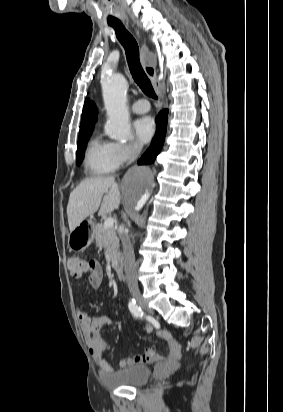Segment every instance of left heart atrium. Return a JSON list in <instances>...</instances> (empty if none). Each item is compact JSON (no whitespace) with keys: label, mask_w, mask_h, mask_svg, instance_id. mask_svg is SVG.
I'll return each instance as SVG.
<instances>
[{"label":"left heart atrium","mask_w":283,"mask_h":412,"mask_svg":"<svg viewBox=\"0 0 283 412\" xmlns=\"http://www.w3.org/2000/svg\"><path fill=\"white\" fill-rule=\"evenodd\" d=\"M155 122L150 117H144L135 124L136 136L142 143L149 142L155 134Z\"/></svg>","instance_id":"left-heart-atrium-1"}]
</instances>
